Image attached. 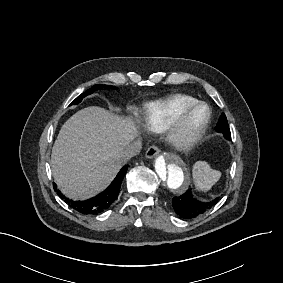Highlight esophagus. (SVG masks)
I'll return each instance as SVG.
<instances>
[{
    "instance_id": "1",
    "label": "esophagus",
    "mask_w": 283,
    "mask_h": 283,
    "mask_svg": "<svg viewBox=\"0 0 283 283\" xmlns=\"http://www.w3.org/2000/svg\"><path fill=\"white\" fill-rule=\"evenodd\" d=\"M159 153H160V149L157 146H150L146 151L145 156L148 159H153L154 157L159 155ZM167 157L170 159L179 160V157L172 153L167 154Z\"/></svg>"
}]
</instances>
